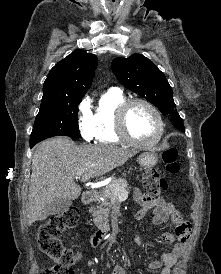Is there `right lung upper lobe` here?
I'll list each match as a JSON object with an SVG mask.
<instances>
[{"instance_id":"cb5924a9","label":"right lung upper lobe","mask_w":221,"mask_h":274,"mask_svg":"<svg viewBox=\"0 0 221 274\" xmlns=\"http://www.w3.org/2000/svg\"><path fill=\"white\" fill-rule=\"evenodd\" d=\"M97 57L77 49L58 62L44 82L42 100L82 98L92 83Z\"/></svg>"}]
</instances>
